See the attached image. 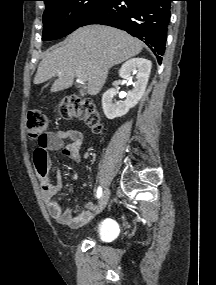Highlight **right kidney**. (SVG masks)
<instances>
[{"label":"right kidney","instance_id":"right-kidney-1","mask_svg":"<svg viewBox=\"0 0 216 285\" xmlns=\"http://www.w3.org/2000/svg\"><path fill=\"white\" fill-rule=\"evenodd\" d=\"M152 63L144 58H132L126 61L119 70V76L123 79L132 81L134 74L135 82L133 89L128 91L126 100L115 101L116 89H108L102 97V108L108 119H114L125 115L130 108H133L142 98L150 75Z\"/></svg>","mask_w":216,"mask_h":285}]
</instances>
